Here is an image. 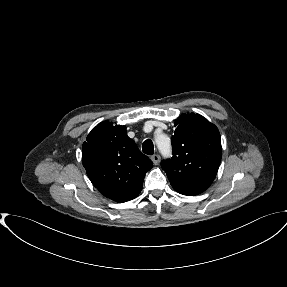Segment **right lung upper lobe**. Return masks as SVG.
Masks as SVG:
<instances>
[{
    "instance_id": "cb5924a9",
    "label": "right lung upper lobe",
    "mask_w": 287,
    "mask_h": 287,
    "mask_svg": "<svg viewBox=\"0 0 287 287\" xmlns=\"http://www.w3.org/2000/svg\"><path fill=\"white\" fill-rule=\"evenodd\" d=\"M82 147V163L92 184L116 202L134 199L141 192L153 162L126 134V127L99 123Z\"/></svg>"
}]
</instances>
